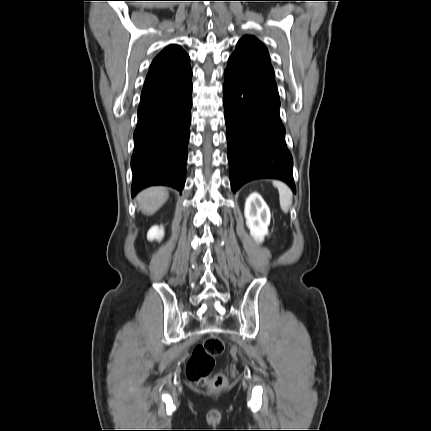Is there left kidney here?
<instances>
[{
	"mask_svg": "<svg viewBox=\"0 0 431 431\" xmlns=\"http://www.w3.org/2000/svg\"><path fill=\"white\" fill-rule=\"evenodd\" d=\"M244 214L251 235L256 240L263 241L264 236L268 234L271 214L260 194L254 192L249 195L245 202Z\"/></svg>",
	"mask_w": 431,
	"mask_h": 431,
	"instance_id": "1",
	"label": "left kidney"
}]
</instances>
